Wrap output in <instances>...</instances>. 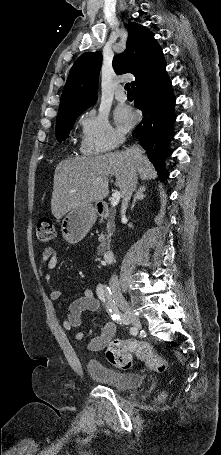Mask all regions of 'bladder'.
Segmentation results:
<instances>
[{
    "instance_id": "1",
    "label": "bladder",
    "mask_w": 221,
    "mask_h": 455,
    "mask_svg": "<svg viewBox=\"0 0 221 455\" xmlns=\"http://www.w3.org/2000/svg\"><path fill=\"white\" fill-rule=\"evenodd\" d=\"M86 369L93 379L121 391L139 388L143 383L139 374L117 371L93 359L87 361Z\"/></svg>"
}]
</instances>
